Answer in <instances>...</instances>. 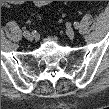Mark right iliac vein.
<instances>
[{
	"instance_id": "right-iliac-vein-1",
	"label": "right iliac vein",
	"mask_w": 109,
	"mask_h": 109,
	"mask_svg": "<svg viewBox=\"0 0 109 109\" xmlns=\"http://www.w3.org/2000/svg\"><path fill=\"white\" fill-rule=\"evenodd\" d=\"M27 40L32 41L35 39V35L33 33H28L26 36Z\"/></svg>"
}]
</instances>
